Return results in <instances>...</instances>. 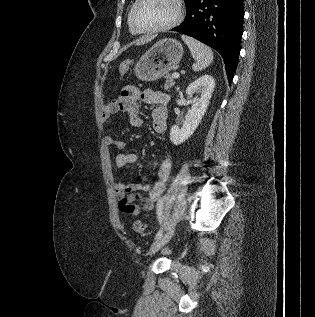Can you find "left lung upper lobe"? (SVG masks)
I'll return each instance as SVG.
<instances>
[{"instance_id": "obj_1", "label": "left lung upper lobe", "mask_w": 315, "mask_h": 317, "mask_svg": "<svg viewBox=\"0 0 315 317\" xmlns=\"http://www.w3.org/2000/svg\"><path fill=\"white\" fill-rule=\"evenodd\" d=\"M193 0H184L185 4H186V8L189 6V4L192 2Z\"/></svg>"}]
</instances>
